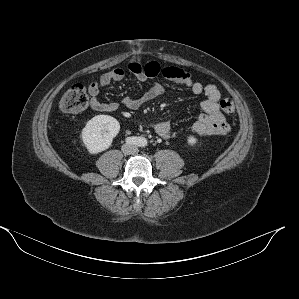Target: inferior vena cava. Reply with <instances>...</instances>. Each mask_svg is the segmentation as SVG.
<instances>
[{"mask_svg":"<svg viewBox=\"0 0 299 299\" xmlns=\"http://www.w3.org/2000/svg\"><path fill=\"white\" fill-rule=\"evenodd\" d=\"M122 151L125 155L134 154L137 151V147L133 144H124L122 146Z\"/></svg>","mask_w":299,"mask_h":299,"instance_id":"1","label":"inferior vena cava"}]
</instances>
